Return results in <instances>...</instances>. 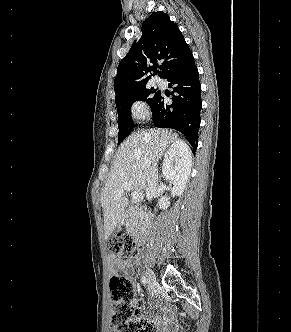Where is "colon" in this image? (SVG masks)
I'll return each mask as SVG.
<instances>
[{
	"label": "colon",
	"mask_w": 291,
	"mask_h": 332,
	"mask_svg": "<svg viewBox=\"0 0 291 332\" xmlns=\"http://www.w3.org/2000/svg\"><path fill=\"white\" fill-rule=\"evenodd\" d=\"M108 249L115 255L131 259L137 256V245L128 233L107 239ZM111 299V332H156V325L141 315V301L134 296L132 283L125 277L112 276L109 281Z\"/></svg>",
	"instance_id": "5ec220e1"
}]
</instances>
